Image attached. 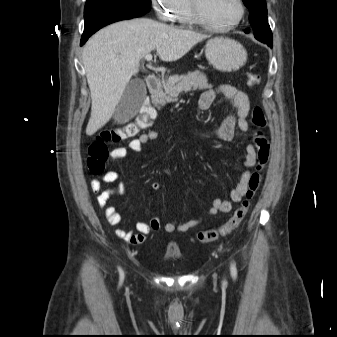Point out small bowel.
<instances>
[{
    "label": "small bowel",
    "mask_w": 337,
    "mask_h": 337,
    "mask_svg": "<svg viewBox=\"0 0 337 337\" xmlns=\"http://www.w3.org/2000/svg\"><path fill=\"white\" fill-rule=\"evenodd\" d=\"M217 94L224 96L230 103V111L223 119L222 123L213 129L209 130H188V134L194 138L209 140L216 139L220 141H229L237 137L241 132L248 131L247 116L250 112V102L248 96L237 89L233 85H221L216 90L207 89L203 91L197 101V109L204 111L208 110ZM159 137L158 132L150 130L142 133L136 138L132 139L127 146H117L110 150L109 157L111 160H120L124 158L128 151L138 152L142 149L143 145L150 141L157 140ZM256 149L253 145H248L244 156V170L240 174L236 186L230 192V200H223L215 198L212 205L208 210L209 216H215L219 213H226L232 209L233 203L240 202L244 197L248 181L251 176V169L256 165ZM115 187L102 189L103 184H114ZM91 190L97 194L96 203L104 209L105 217L108 223L112 226H117L121 223L122 217L116 208L109 204V200L116 194H121L126 191V183L120 179V175L116 171H107L101 178L93 179L91 181ZM161 186L158 182L151 183V190L158 193ZM201 223V219H191L187 222L180 223L177 220H172L164 225V230L168 233L178 231L186 232ZM161 222L157 216L152 217L148 221H139L135 224V230H126L118 228L116 235L130 244L137 245L145 242L147 236L160 230Z\"/></svg>",
    "instance_id": "c3829d8e"
}]
</instances>
